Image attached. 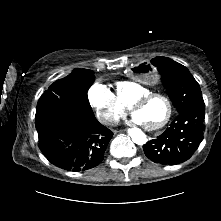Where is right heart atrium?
Returning <instances> with one entry per match:
<instances>
[{"label":"right heart atrium","mask_w":221,"mask_h":221,"mask_svg":"<svg viewBox=\"0 0 221 221\" xmlns=\"http://www.w3.org/2000/svg\"><path fill=\"white\" fill-rule=\"evenodd\" d=\"M88 100L99 120L112 125L126 113V107L106 85L96 82L88 91Z\"/></svg>","instance_id":"1"}]
</instances>
